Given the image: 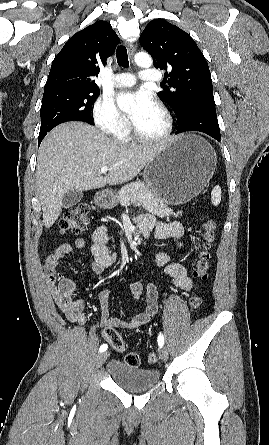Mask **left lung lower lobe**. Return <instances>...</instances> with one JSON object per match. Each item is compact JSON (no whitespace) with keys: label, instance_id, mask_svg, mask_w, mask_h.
<instances>
[{"label":"left lung lower lobe","instance_id":"1","mask_svg":"<svg viewBox=\"0 0 269 445\" xmlns=\"http://www.w3.org/2000/svg\"><path fill=\"white\" fill-rule=\"evenodd\" d=\"M186 131L203 132L219 140L221 136L215 108L192 109L187 118L178 124L176 134Z\"/></svg>","mask_w":269,"mask_h":445}]
</instances>
